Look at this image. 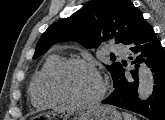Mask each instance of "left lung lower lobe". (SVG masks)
Masks as SVG:
<instances>
[{
  "mask_svg": "<svg viewBox=\"0 0 165 120\" xmlns=\"http://www.w3.org/2000/svg\"><path fill=\"white\" fill-rule=\"evenodd\" d=\"M125 45L131 54H137L132 62L136 64L135 67L145 63L151 68L155 83L152 95L146 101L139 100L137 69L130 71L132 75H125L123 66L127 64L123 62L114 91L102 103L139 113L150 120H165V52L153 28L144 18Z\"/></svg>",
  "mask_w": 165,
  "mask_h": 120,
  "instance_id": "1",
  "label": "left lung lower lobe"
}]
</instances>
